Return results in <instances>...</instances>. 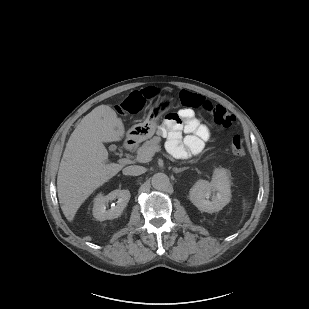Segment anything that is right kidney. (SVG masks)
I'll list each match as a JSON object with an SVG mask.
<instances>
[{"label": "right kidney", "mask_w": 309, "mask_h": 309, "mask_svg": "<svg viewBox=\"0 0 309 309\" xmlns=\"http://www.w3.org/2000/svg\"><path fill=\"white\" fill-rule=\"evenodd\" d=\"M130 197L129 190L119 189L110 192L106 196L99 194L94 199L93 216L99 221L111 220L119 217L129 202ZM115 199H118L117 205L107 210V203Z\"/></svg>", "instance_id": "1"}]
</instances>
